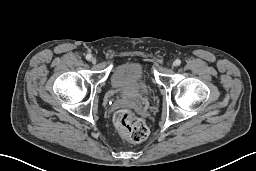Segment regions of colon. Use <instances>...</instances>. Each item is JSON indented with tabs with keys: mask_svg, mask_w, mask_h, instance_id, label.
<instances>
[{
	"mask_svg": "<svg viewBox=\"0 0 256 171\" xmlns=\"http://www.w3.org/2000/svg\"><path fill=\"white\" fill-rule=\"evenodd\" d=\"M117 129L130 141L143 142L148 136V127L129 109L118 111L114 116Z\"/></svg>",
	"mask_w": 256,
	"mask_h": 171,
	"instance_id": "obj_1",
	"label": "colon"
}]
</instances>
